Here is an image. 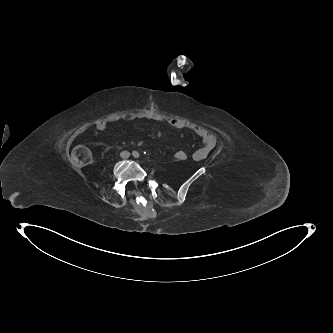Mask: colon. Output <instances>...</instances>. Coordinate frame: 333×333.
<instances>
[{"instance_id":"colon-1","label":"colon","mask_w":333,"mask_h":333,"mask_svg":"<svg viewBox=\"0 0 333 333\" xmlns=\"http://www.w3.org/2000/svg\"><path fill=\"white\" fill-rule=\"evenodd\" d=\"M187 157V154H185L182 150H177L171 155V160L186 162ZM71 159L77 166H86L92 161V153L87 147L77 146L72 152Z\"/></svg>"}]
</instances>
